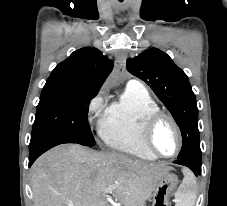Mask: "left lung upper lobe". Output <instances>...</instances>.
Returning a JSON list of instances; mask_svg holds the SVG:
<instances>
[{
  "label": "left lung upper lobe",
  "mask_w": 227,
  "mask_h": 206,
  "mask_svg": "<svg viewBox=\"0 0 227 206\" xmlns=\"http://www.w3.org/2000/svg\"><path fill=\"white\" fill-rule=\"evenodd\" d=\"M128 71L145 81L170 111L182 134L178 159L201 161L198 108L187 75L163 51L151 48L128 58Z\"/></svg>",
  "instance_id": "left-lung-upper-lobe-1"
}]
</instances>
